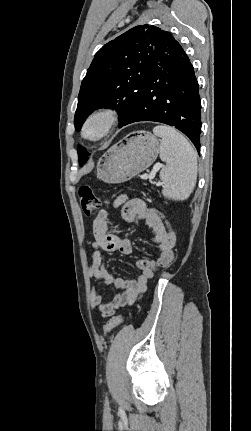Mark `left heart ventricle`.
<instances>
[{"label":"left heart ventricle","instance_id":"b2bd125f","mask_svg":"<svg viewBox=\"0 0 251 431\" xmlns=\"http://www.w3.org/2000/svg\"><path fill=\"white\" fill-rule=\"evenodd\" d=\"M97 131H98V127H97L96 125H94V126H91V127L89 128L88 133H89L90 135H94V134H96V133H97Z\"/></svg>","mask_w":251,"mask_h":431}]
</instances>
